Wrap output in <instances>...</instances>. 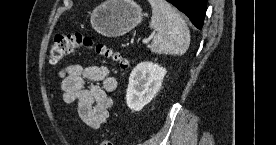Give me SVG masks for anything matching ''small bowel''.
<instances>
[{"label": "small bowel", "instance_id": "small-bowel-1", "mask_svg": "<svg viewBox=\"0 0 276 145\" xmlns=\"http://www.w3.org/2000/svg\"><path fill=\"white\" fill-rule=\"evenodd\" d=\"M63 99L76 103L81 122L98 130L109 119L112 100L109 92L117 88V80L106 66L71 64L61 72Z\"/></svg>", "mask_w": 276, "mask_h": 145}]
</instances>
